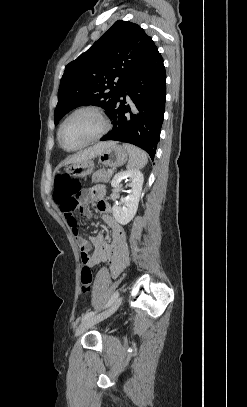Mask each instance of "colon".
Returning a JSON list of instances; mask_svg holds the SVG:
<instances>
[{
  "label": "colon",
  "mask_w": 247,
  "mask_h": 407,
  "mask_svg": "<svg viewBox=\"0 0 247 407\" xmlns=\"http://www.w3.org/2000/svg\"><path fill=\"white\" fill-rule=\"evenodd\" d=\"M81 190L79 180L72 178L68 174H59L54 180L53 198L57 203L65 202L69 199H74ZM81 289L84 293L90 291L93 283V272L91 267L84 266L80 275Z\"/></svg>",
  "instance_id": "obj_1"
}]
</instances>
